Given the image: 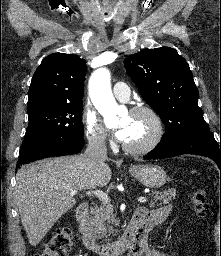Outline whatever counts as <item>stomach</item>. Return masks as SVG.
Instances as JSON below:
<instances>
[{"mask_svg": "<svg viewBox=\"0 0 221 256\" xmlns=\"http://www.w3.org/2000/svg\"><path fill=\"white\" fill-rule=\"evenodd\" d=\"M129 171L142 185L149 188H160L167 180L164 169L155 165L132 166Z\"/></svg>", "mask_w": 221, "mask_h": 256, "instance_id": "stomach-1", "label": "stomach"}]
</instances>
